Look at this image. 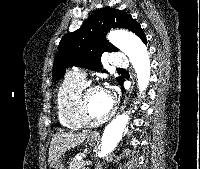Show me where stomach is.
I'll use <instances>...</instances> for the list:
<instances>
[{
  "mask_svg": "<svg viewBox=\"0 0 200 169\" xmlns=\"http://www.w3.org/2000/svg\"><path fill=\"white\" fill-rule=\"evenodd\" d=\"M96 139L92 138L91 136L88 137L87 139V143L89 145H93L96 143ZM50 169H65L64 164L58 160V162L56 164H54L53 166L50 167Z\"/></svg>",
  "mask_w": 200,
  "mask_h": 169,
  "instance_id": "1",
  "label": "stomach"
}]
</instances>
